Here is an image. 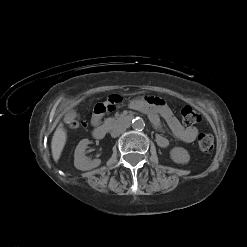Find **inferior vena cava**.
<instances>
[{"instance_id":"obj_1","label":"inferior vena cava","mask_w":247,"mask_h":247,"mask_svg":"<svg viewBox=\"0 0 247 247\" xmlns=\"http://www.w3.org/2000/svg\"><path fill=\"white\" fill-rule=\"evenodd\" d=\"M125 130H126V127H124V126H116V127L112 128L111 136L114 138L118 137L120 134L125 132Z\"/></svg>"}]
</instances>
